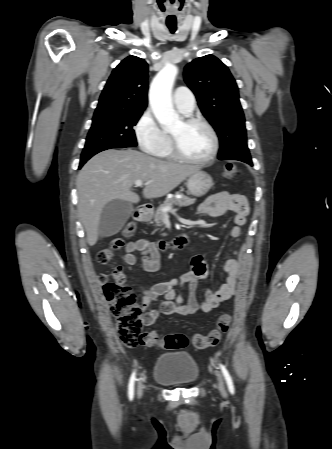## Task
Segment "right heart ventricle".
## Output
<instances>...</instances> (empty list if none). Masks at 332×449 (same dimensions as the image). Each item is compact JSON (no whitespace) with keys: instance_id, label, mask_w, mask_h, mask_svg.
I'll return each instance as SVG.
<instances>
[{"instance_id":"1","label":"right heart ventricle","mask_w":332,"mask_h":449,"mask_svg":"<svg viewBox=\"0 0 332 449\" xmlns=\"http://www.w3.org/2000/svg\"><path fill=\"white\" fill-rule=\"evenodd\" d=\"M168 137V136H167ZM158 156L163 158H173V152L170 145V138L168 137L167 143L164 147L157 153Z\"/></svg>"}]
</instances>
